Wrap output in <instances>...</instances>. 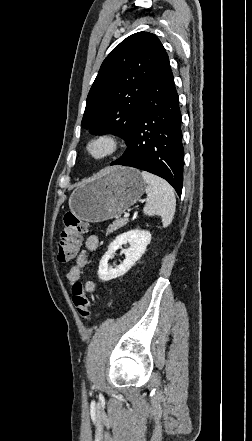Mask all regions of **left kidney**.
<instances>
[{
  "label": "left kidney",
  "mask_w": 252,
  "mask_h": 441,
  "mask_svg": "<svg viewBox=\"0 0 252 441\" xmlns=\"http://www.w3.org/2000/svg\"><path fill=\"white\" fill-rule=\"evenodd\" d=\"M151 241V234L144 230H131L120 234L109 245L107 252L99 263V279L106 282L124 275L144 254L147 245ZM130 244V247L123 250L125 259L115 268H109L108 262L113 257L116 250L124 244Z\"/></svg>",
  "instance_id": "obj_1"
}]
</instances>
